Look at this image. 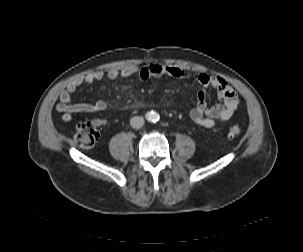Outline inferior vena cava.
I'll list each match as a JSON object with an SVG mask.
<instances>
[{
	"mask_svg": "<svg viewBox=\"0 0 303 252\" xmlns=\"http://www.w3.org/2000/svg\"><path fill=\"white\" fill-rule=\"evenodd\" d=\"M130 125L132 128L139 129L144 125V118L141 116H134L130 119Z\"/></svg>",
	"mask_w": 303,
	"mask_h": 252,
	"instance_id": "inferior-vena-cava-1",
	"label": "inferior vena cava"
}]
</instances>
